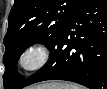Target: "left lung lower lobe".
Instances as JSON below:
<instances>
[{"label":"left lung lower lobe","instance_id":"obj_1","mask_svg":"<svg viewBox=\"0 0 107 89\" xmlns=\"http://www.w3.org/2000/svg\"><path fill=\"white\" fill-rule=\"evenodd\" d=\"M48 48L51 55L46 65L16 89L53 79L106 89L107 0H83Z\"/></svg>","mask_w":107,"mask_h":89}]
</instances>
